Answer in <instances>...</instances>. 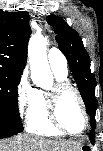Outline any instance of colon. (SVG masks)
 Listing matches in <instances>:
<instances>
[{
    "label": "colon",
    "instance_id": "obj_1",
    "mask_svg": "<svg viewBox=\"0 0 103 151\" xmlns=\"http://www.w3.org/2000/svg\"><path fill=\"white\" fill-rule=\"evenodd\" d=\"M83 151H89L88 148H84Z\"/></svg>",
    "mask_w": 103,
    "mask_h": 151
}]
</instances>
